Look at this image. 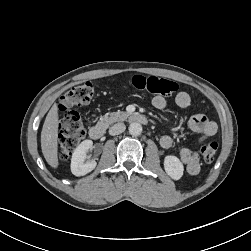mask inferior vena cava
<instances>
[{
    "mask_svg": "<svg viewBox=\"0 0 251 251\" xmlns=\"http://www.w3.org/2000/svg\"><path fill=\"white\" fill-rule=\"evenodd\" d=\"M126 126L124 123H117L109 129V134L112 136L121 134L125 131Z\"/></svg>",
    "mask_w": 251,
    "mask_h": 251,
    "instance_id": "obj_1",
    "label": "inferior vena cava"
}]
</instances>
